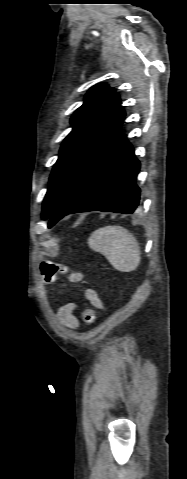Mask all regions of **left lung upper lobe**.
Returning a JSON list of instances; mask_svg holds the SVG:
<instances>
[{
	"mask_svg": "<svg viewBox=\"0 0 187 479\" xmlns=\"http://www.w3.org/2000/svg\"><path fill=\"white\" fill-rule=\"evenodd\" d=\"M119 95L108 85L93 86L71 118L73 130L61 145L42 207L43 219L52 215L86 169L121 135L125 112Z\"/></svg>",
	"mask_w": 187,
	"mask_h": 479,
	"instance_id": "5c2ea615",
	"label": "left lung upper lobe"
}]
</instances>
